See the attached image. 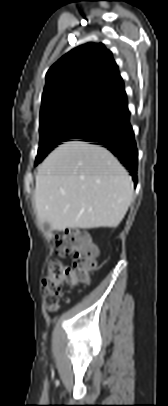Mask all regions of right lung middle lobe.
Listing matches in <instances>:
<instances>
[{"label":"right lung middle lobe","mask_w":168,"mask_h":406,"mask_svg":"<svg viewBox=\"0 0 168 406\" xmlns=\"http://www.w3.org/2000/svg\"><path fill=\"white\" fill-rule=\"evenodd\" d=\"M111 117L109 105L87 101L72 104L40 118V141L35 165L62 142L78 139Z\"/></svg>","instance_id":"obj_1"}]
</instances>
